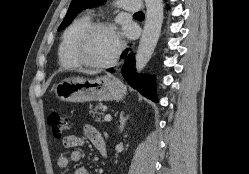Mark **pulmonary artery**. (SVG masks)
Returning a JSON list of instances; mask_svg holds the SVG:
<instances>
[{
	"mask_svg": "<svg viewBox=\"0 0 249 174\" xmlns=\"http://www.w3.org/2000/svg\"><path fill=\"white\" fill-rule=\"evenodd\" d=\"M119 5L128 12L138 13L141 11V0H119Z\"/></svg>",
	"mask_w": 249,
	"mask_h": 174,
	"instance_id": "pulmonary-artery-1",
	"label": "pulmonary artery"
}]
</instances>
